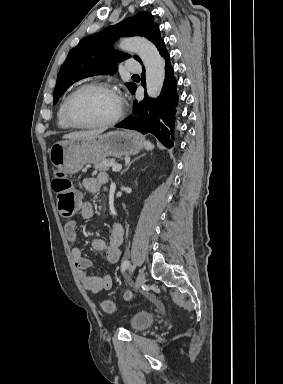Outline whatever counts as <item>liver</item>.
I'll return each mask as SVG.
<instances>
[{"mask_svg":"<svg viewBox=\"0 0 283 384\" xmlns=\"http://www.w3.org/2000/svg\"><path fill=\"white\" fill-rule=\"evenodd\" d=\"M104 130H88V132H72V134H65L62 136L64 140H78V138H89V136H98Z\"/></svg>","mask_w":283,"mask_h":384,"instance_id":"obj_1","label":"liver"}]
</instances>
